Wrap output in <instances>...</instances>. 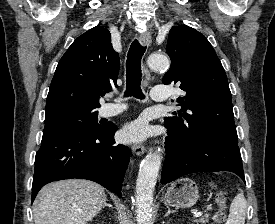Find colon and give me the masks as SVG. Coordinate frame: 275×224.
<instances>
[{
    "label": "colon",
    "mask_w": 275,
    "mask_h": 224,
    "mask_svg": "<svg viewBox=\"0 0 275 224\" xmlns=\"http://www.w3.org/2000/svg\"><path fill=\"white\" fill-rule=\"evenodd\" d=\"M216 201L217 204L219 206V211L216 214V221L217 222H222L224 220V205H225V201H226V194L223 191H219L216 194Z\"/></svg>",
    "instance_id": "colon-1"
}]
</instances>
